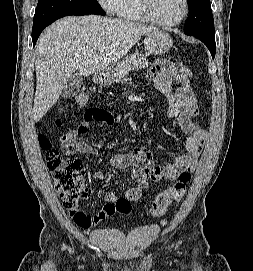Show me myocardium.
<instances>
[{"instance_id":"1","label":"myocardium","mask_w":253,"mask_h":271,"mask_svg":"<svg viewBox=\"0 0 253 271\" xmlns=\"http://www.w3.org/2000/svg\"><path fill=\"white\" fill-rule=\"evenodd\" d=\"M141 4H142V8L143 11L145 13V15L148 17V19L159 25L162 27H175L179 24H181L185 18L187 17L188 13H189V1L188 0H183V12L181 14V16L175 20V21H171V22H166V21H162L160 20L154 13L153 8H152V0H141Z\"/></svg>"}]
</instances>
